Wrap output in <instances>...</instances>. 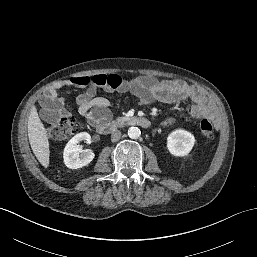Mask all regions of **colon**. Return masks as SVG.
<instances>
[{
	"instance_id": "5ec220e1",
	"label": "colon",
	"mask_w": 257,
	"mask_h": 257,
	"mask_svg": "<svg viewBox=\"0 0 257 257\" xmlns=\"http://www.w3.org/2000/svg\"><path fill=\"white\" fill-rule=\"evenodd\" d=\"M74 81L77 84L86 83V80L79 77L74 78ZM78 130L79 127L75 119L69 115H63L47 128V133L51 139L62 141L70 138L77 133ZM200 130L206 139H212L214 137V127L210 120L203 119L200 122Z\"/></svg>"
}]
</instances>
